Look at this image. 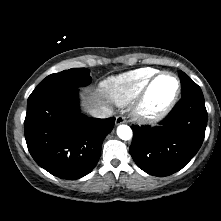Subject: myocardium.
Instances as JSON below:
<instances>
[{
	"label": "myocardium",
	"instance_id": "obj_1",
	"mask_svg": "<svg viewBox=\"0 0 221 221\" xmlns=\"http://www.w3.org/2000/svg\"><path fill=\"white\" fill-rule=\"evenodd\" d=\"M170 76L176 82V90L171 99L159 109H151L148 105L149 95L155 82L162 76ZM181 93V82L177 75L169 71H159L155 73L145 84L132 107L134 118L143 123H156L162 120L175 106Z\"/></svg>",
	"mask_w": 221,
	"mask_h": 221
}]
</instances>
